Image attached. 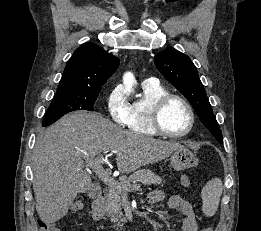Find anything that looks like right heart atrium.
Returning a JSON list of instances; mask_svg holds the SVG:
<instances>
[{
  "instance_id": "obj_1",
  "label": "right heart atrium",
  "mask_w": 261,
  "mask_h": 231,
  "mask_svg": "<svg viewBox=\"0 0 261 231\" xmlns=\"http://www.w3.org/2000/svg\"><path fill=\"white\" fill-rule=\"evenodd\" d=\"M106 107L112 121L118 125H126L129 103L122 86L113 88L106 99Z\"/></svg>"
}]
</instances>
